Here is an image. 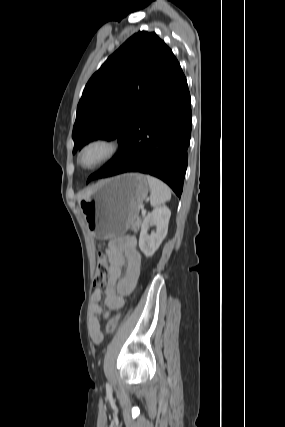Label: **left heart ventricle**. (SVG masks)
I'll return each instance as SVG.
<instances>
[{
    "instance_id": "left-heart-ventricle-1",
    "label": "left heart ventricle",
    "mask_w": 285,
    "mask_h": 427,
    "mask_svg": "<svg viewBox=\"0 0 285 427\" xmlns=\"http://www.w3.org/2000/svg\"><path fill=\"white\" fill-rule=\"evenodd\" d=\"M104 153V148L101 146H95L87 151L84 156V164L91 165L98 161Z\"/></svg>"
}]
</instances>
